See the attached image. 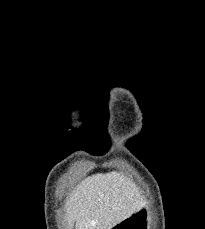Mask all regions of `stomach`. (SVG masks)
Instances as JSON below:
<instances>
[{
  "instance_id": "1",
  "label": "stomach",
  "mask_w": 205,
  "mask_h": 229,
  "mask_svg": "<svg viewBox=\"0 0 205 229\" xmlns=\"http://www.w3.org/2000/svg\"><path fill=\"white\" fill-rule=\"evenodd\" d=\"M151 222V212L146 204H142L111 229H151Z\"/></svg>"
}]
</instances>
